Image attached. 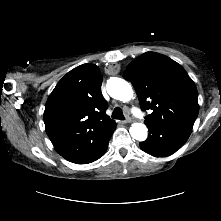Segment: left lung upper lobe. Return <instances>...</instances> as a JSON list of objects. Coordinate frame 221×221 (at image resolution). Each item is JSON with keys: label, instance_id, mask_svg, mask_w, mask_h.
Wrapping results in <instances>:
<instances>
[{"label": "left lung upper lobe", "instance_id": "obj_1", "mask_svg": "<svg viewBox=\"0 0 221 221\" xmlns=\"http://www.w3.org/2000/svg\"><path fill=\"white\" fill-rule=\"evenodd\" d=\"M123 77L133 84L141 109L153 111L145 122L193 127L199 111L197 89L177 62L159 53L146 52L127 66Z\"/></svg>", "mask_w": 221, "mask_h": 221}]
</instances>
